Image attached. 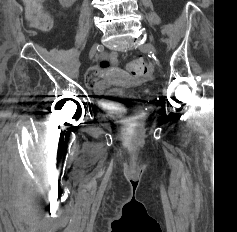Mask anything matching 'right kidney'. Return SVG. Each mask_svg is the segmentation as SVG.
<instances>
[{"mask_svg": "<svg viewBox=\"0 0 237 232\" xmlns=\"http://www.w3.org/2000/svg\"><path fill=\"white\" fill-rule=\"evenodd\" d=\"M76 0H59L60 4L64 8H69L73 5Z\"/></svg>", "mask_w": 237, "mask_h": 232, "instance_id": "1", "label": "right kidney"}]
</instances>
